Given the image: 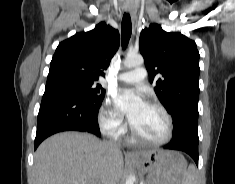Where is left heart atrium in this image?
<instances>
[{
  "label": "left heart atrium",
  "mask_w": 235,
  "mask_h": 184,
  "mask_svg": "<svg viewBox=\"0 0 235 184\" xmlns=\"http://www.w3.org/2000/svg\"><path fill=\"white\" fill-rule=\"evenodd\" d=\"M113 103L117 113L125 115L132 127L148 107L139 91L119 90L113 95Z\"/></svg>",
  "instance_id": "39dd6f15"
}]
</instances>
